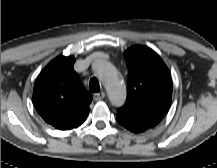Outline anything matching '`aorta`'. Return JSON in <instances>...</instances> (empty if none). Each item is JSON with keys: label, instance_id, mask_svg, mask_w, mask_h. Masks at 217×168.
Segmentation results:
<instances>
[{"label": "aorta", "instance_id": "aorta-1", "mask_svg": "<svg viewBox=\"0 0 217 168\" xmlns=\"http://www.w3.org/2000/svg\"><path fill=\"white\" fill-rule=\"evenodd\" d=\"M93 67L103 82L112 105L122 106L126 100V87L119 78L115 67L102 58H97Z\"/></svg>", "mask_w": 217, "mask_h": 168}]
</instances>
